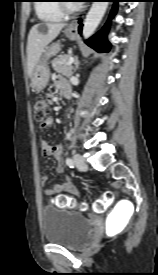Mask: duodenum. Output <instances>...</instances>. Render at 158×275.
Listing matches in <instances>:
<instances>
[{
  "instance_id": "1",
  "label": "duodenum",
  "mask_w": 158,
  "mask_h": 275,
  "mask_svg": "<svg viewBox=\"0 0 158 275\" xmlns=\"http://www.w3.org/2000/svg\"><path fill=\"white\" fill-rule=\"evenodd\" d=\"M61 93H62L63 96L67 97L69 95V88L68 87L63 88L61 90Z\"/></svg>"
}]
</instances>
